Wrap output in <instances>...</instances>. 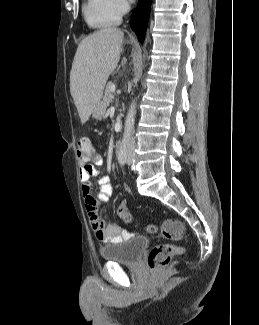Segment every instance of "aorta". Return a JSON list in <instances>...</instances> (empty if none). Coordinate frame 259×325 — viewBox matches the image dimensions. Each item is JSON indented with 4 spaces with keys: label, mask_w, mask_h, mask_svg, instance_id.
<instances>
[{
    "label": "aorta",
    "mask_w": 259,
    "mask_h": 325,
    "mask_svg": "<svg viewBox=\"0 0 259 325\" xmlns=\"http://www.w3.org/2000/svg\"><path fill=\"white\" fill-rule=\"evenodd\" d=\"M135 115H136V102L132 101L125 119L124 134H123L124 138H129L133 131L134 123H135Z\"/></svg>",
    "instance_id": "aorta-1"
}]
</instances>
